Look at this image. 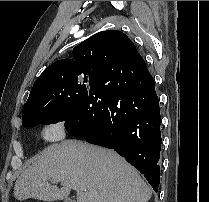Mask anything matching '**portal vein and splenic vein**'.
<instances>
[{
	"mask_svg": "<svg viewBox=\"0 0 209 202\" xmlns=\"http://www.w3.org/2000/svg\"><path fill=\"white\" fill-rule=\"evenodd\" d=\"M50 180H51V182H53V183H57V182L59 181L57 178H51Z\"/></svg>",
	"mask_w": 209,
	"mask_h": 202,
	"instance_id": "portal-vein-and-splenic-vein-1",
	"label": "portal vein and splenic vein"
}]
</instances>
